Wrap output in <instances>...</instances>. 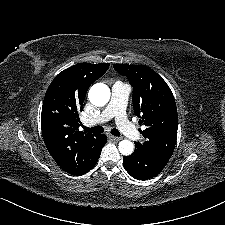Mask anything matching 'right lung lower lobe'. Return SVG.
Returning <instances> with one entry per match:
<instances>
[{
    "label": "right lung lower lobe",
    "instance_id": "right-lung-lower-lobe-1",
    "mask_svg": "<svg viewBox=\"0 0 225 225\" xmlns=\"http://www.w3.org/2000/svg\"><path fill=\"white\" fill-rule=\"evenodd\" d=\"M101 138H102V140H103V146H104V144L107 142V136H106V135H101ZM99 156H100V155H99ZM99 156H98V158H99ZM98 158H97V160H98ZM97 160L95 161V163L93 164V166L91 167V169L96 165ZM91 169H90V170H91Z\"/></svg>",
    "mask_w": 225,
    "mask_h": 225
}]
</instances>
